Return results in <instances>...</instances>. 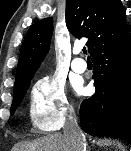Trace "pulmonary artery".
Here are the masks:
<instances>
[{
    "mask_svg": "<svg viewBox=\"0 0 131 151\" xmlns=\"http://www.w3.org/2000/svg\"><path fill=\"white\" fill-rule=\"evenodd\" d=\"M79 51H77L78 53ZM71 67H72V70L76 73H83L85 72L86 68H87V65H86V62L81 59V58H74L72 63H71Z\"/></svg>",
    "mask_w": 131,
    "mask_h": 151,
    "instance_id": "e3ab8cb5",
    "label": "pulmonary artery"
}]
</instances>
